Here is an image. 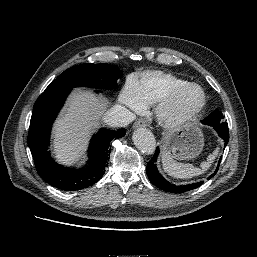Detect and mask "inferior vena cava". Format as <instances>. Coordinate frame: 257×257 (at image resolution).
Here are the masks:
<instances>
[{
	"label": "inferior vena cava",
	"instance_id": "1",
	"mask_svg": "<svg viewBox=\"0 0 257 257\" xmlns=\"http://www.w3.org/2000/svg\"><path fill=\"white\" fill-rule=\"evenodd\" d=\"M135 119V115L121 105H115L107 113L105 122L112 127H125Z\"/></svg>",
	"mask_w": 257,
	"mask_h": 257
}]
</instances>
